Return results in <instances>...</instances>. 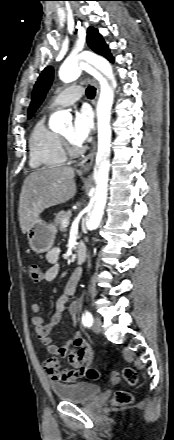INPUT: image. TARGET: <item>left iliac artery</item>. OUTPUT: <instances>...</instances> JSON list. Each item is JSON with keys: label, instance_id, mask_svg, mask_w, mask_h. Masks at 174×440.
Wrapping results in <instances>:
<instances>
[{"label": "left iliac artery", "instance_id": "1", "mask_svg": "<svg viewBox=\"0 0 174 440\" xmlns=\"http://www.w3.org/2000/svg\"><path fill=\"white\" fill-rule=\"evenodd\" d=\"M82 323L86 327H90L93 323V317L92 314L88 311H85L82 318Z\"/></svg>", "mask_w": 174, "mask_h": 440}]
</instances>
